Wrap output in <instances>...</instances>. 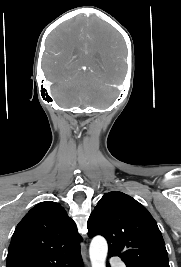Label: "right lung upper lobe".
Masks as SVG:
<instances>
[{"instance_id":"1","label":"right lung upper lobe","mask_w":181,"mask_h":267,"mask_svg":"<svg viewBox=\"0 0 181 267\" xmlns=\"http://www.w3.org/2000/svg\"><path fill=\"white\" fill-rule=\"evenodd\" d=\"M81 240L75 222L59 203L41 202L17 225L6 267H52L79 252Z\"/></svg>"}]
</instances>
